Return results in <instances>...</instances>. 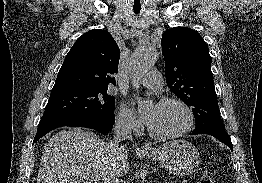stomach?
I'll return each instance as SVG.
<instances>
[{
    "mask_svg": "<svg viewBox=\"0 0 262 183\" xmlns=\"http://www.w3.org/2000/svg\"><path fill=\"white\" fill-rule=\"evenodd\" d=\"M144 154L158 161L168 172L177 176L192 174L200 164L198 150L185 140L169 141Z\"/></svg>",
    "mask_w": 262,
    "mask_h": 183,
    "instance_id": "stomach-1",
    "label": "stomach"
}]
</instances>
